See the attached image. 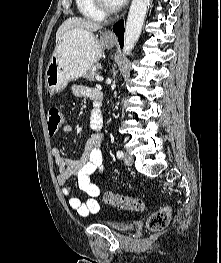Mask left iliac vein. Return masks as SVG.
<instances>
[{
    "label": "left iliac vein",
    "instance_id": "left-iliac-vein-1",
    "mask_svg": "<svg viewBox=\"0 0 221 263\" xmlns=\"http://www.w3.org/2000/svg\"><path fill=\"white\" fill-rule=\"evenodd\" d=\"M124 162L127 165H131L133 163V156L130 153L126 152L124 156Z\"/></svg>",
    "mask_w": 221,
    "mask_h": 263
}]
</instances>
